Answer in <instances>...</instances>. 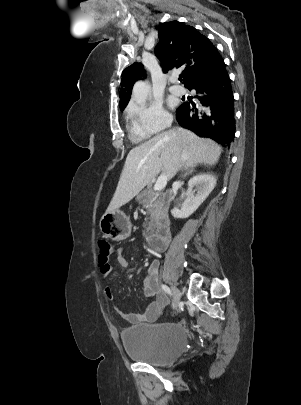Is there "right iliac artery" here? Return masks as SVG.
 <instances>
[{
	"instance_id": "82829eb1",
	"label": "right iliac artery",
	"mask_w": 301,
	"mask_h": 405,
	"mask_svg": "<svg viewBox=\"0 0 301 405\" xmlns=\"http://www.w3.org/2000/svg\"><path fill=\"white\" fill-rule=\"evenodd\" d=\"M161 288H162V290L164 291V292H166L167 294H169L170 296L172 295V292H171V290H170V288L168 287V286H166V285H161Z\"/></svg>"
}]
</instances>
